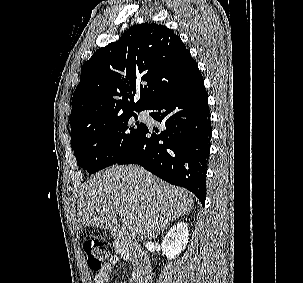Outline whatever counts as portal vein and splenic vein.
I'll list each match as a JSON object with an SVG mask.
<instances>
[{"mask_svg":"<svg viewBox=\"0 0 303 283\" xmlns=\"http://www.w3.org/2000/svg\"><path fill=\"white\" fill-rule=\"evenodd\" d=\"M122 223L126 226H130L131 224L130 218L128 216L122 217Z\"/></svg>","mask_w":303,"mask_h":283,"instance_id":"1","label":"portal vein and splenic vein"}]
</instances>
